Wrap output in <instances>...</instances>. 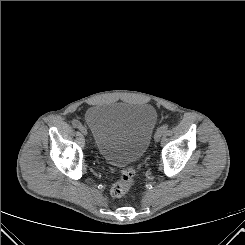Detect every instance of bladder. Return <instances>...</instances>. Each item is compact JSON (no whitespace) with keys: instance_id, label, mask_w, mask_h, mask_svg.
<instances>
[{"instance_id":"obj_1","label":"bladder","mask_w":245,"mask_h":245,"mask_svg":"<svg viewBox=\"0 0 245 245\" xmlns=\"http://www.w3.org/2000/svg\"><path fill=\"white\" fill-rule=\"evenodd\" d=\"M85 121L100 158L122 167L144 155L157 123V112L145 103H101L87 110Z\"/></svg>"}]
</instances>
